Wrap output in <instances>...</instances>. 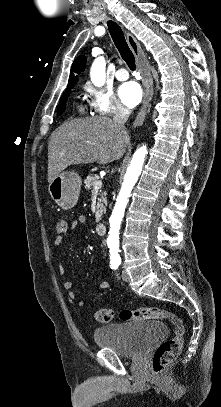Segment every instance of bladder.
<instances>
[{
  "label": "bladder",
  "mask_w": 221,
  "mask_h": 407,
  "mask_svg": "<svg viewBox=\"0 0 221 407\" xmlns=\"http://www.w3.org/2000/svg\"><path fill=\"white\" fill-rule=\"evenodd\" d=\"M166 333L167 326L163 322L148 324L138 321L102 325L94 330L93 336L97 346L113 349L122 357L136 358Z\"/></svg>",
  "instance_id": "bladder-1"
}]
</instances>
